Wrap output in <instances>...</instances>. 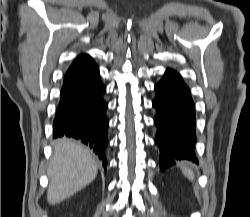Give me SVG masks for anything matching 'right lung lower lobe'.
<instances>
[{
    "label": "right lung lower lobe",
    "instance_id": "right-lung-lower-lobe-1",
    "mask_svg": "<svg viewBox=\"0 0 250 217\" xmlns=\"http://www.w3.org/2000/svg\"><path fill=\"white\" fill-rule=\"evenodd\" d=\"M106 87L99 69L90 56L72 65L61 89V98L53 122V138L71 137L88 145L106 169L105 148L108 145Z\"/></svg>",
    "mask_w": 250,
    "mask_h": 217
}]
</instances>
